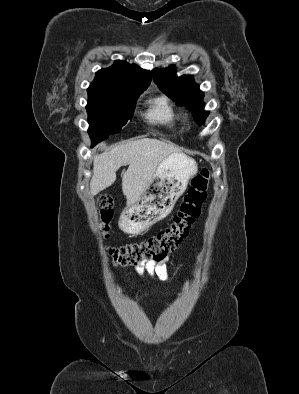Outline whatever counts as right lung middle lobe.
I'll return each mask as SVG.
<instances>
[{"label":"right lung middle lobe","mask_w":299,"mask_h":394,"mask_svg":"<svg viewBox=\"0 0 299 394\" xmlns=\"http://www.w3.org/2000/svg\"><path fill=\"white\" fill-rule=\"evenodd\" d=\"M140 94L131 91L88 93V133L93 145L105 140L110 134L121 131L133 116L135 103Z\"/></svg>","instance_id":"obj_1"}]
</instances>
